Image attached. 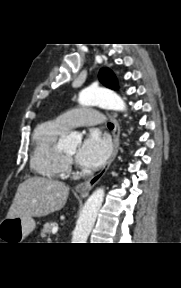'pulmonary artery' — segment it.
Wrapping results in <instances>:
<instances>
[{"instance_id": "1", "label": "pulmonary artery", "mask_w": 181, "mask_h": 288, "mask_svg": "<svg viewBox=\"0 0 181 288\" xmlns=\"http://www.w3.org/2000/svg\"><path fill=\"white\" fill-rule=\"evenodd\" d=\"M56 121L67 130L73 127H90L103 122L97 110L84 107L63 113L57 117Z\"/></svg>"}]
</instances>
